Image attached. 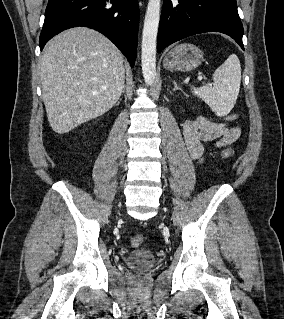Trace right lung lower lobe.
<instances>
[{
	"mask_svg": "<svg viewBox=\"0 0 284 319\" xmlns=\"http://www.w3.org/2000/svg\"><path fill=\"white\" fill-rule=\"evenodd\" d=\"M138 23V0H49L39 45L42 50L56 34L84 26L108 37L133 66Z\"/></svg>",
	"mask_w": 284,
	"mask_h": 319,
	"instance_id": "obj_1",
	"label": "right lung lower lobe"
}]
</instances>
